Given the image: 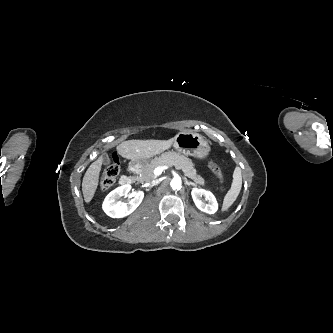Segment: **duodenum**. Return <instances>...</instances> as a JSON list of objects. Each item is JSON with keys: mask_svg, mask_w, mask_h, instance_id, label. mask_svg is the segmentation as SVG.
Segmentation results:
<instances>
[{"mask_svg": "<svg viewBox=\"0 0 333 333\" xmlns=\"http://www.w3.org/2000/svg\"><path fill=\"white\" fill-rule=\"evenodd\" d=\"M137 168H133L134 173L137 171ZM135 180V176L134 175H124L120 178V183L122 185H128L133 183Z\"/></svg>", "mask_w": 333, "mask_h": 333, "instance_id": "1", "label": "duodenum"}]
</instances>
